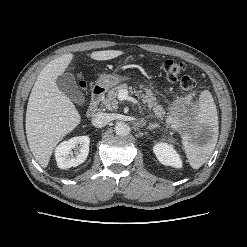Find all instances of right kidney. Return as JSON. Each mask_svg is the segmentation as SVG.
I'll use <instances>...</instances> for the list:
<instances>
[{
  "label": "right kidney",
  "instance_id": "right-kidney-1",
  "mask_svg": "<svg viewBox=\"0 0 247 247\" xmlns=\"http://www.w3.org/2000/svg\"><path fill=\"white\" fill-rule=\"evenodd\" d=\"M89 144L88 136L73 137L59 144L55 149L57 166L61 169H68L83 163L89 153ZM73 149L77 150L75 156L72 155Z\"/></svg>",
  "mask_w": 247,
  "mask_h": 247
}]
</instances>
